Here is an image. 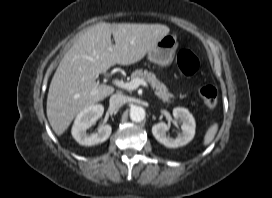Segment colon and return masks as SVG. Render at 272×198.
<instances>
[{"mask_svg": "<svg viewBox=\"0 0 272 198\" xmlns=\"http://www.w3.org/2000/svg\"><path fill=\"white\" fill-rule=\"evenodd\" d=\"M177 64L180 70L186 75H193L199 69V60L196 55L187 48H181L177 53ZM200 98L207 108H214L217 104L218 94L217 90L211 86L206 85L199 90Z\"/></svg>", "mask_w": 272, "mask_h": 198, "instance_id": "colon-1", "label": "colon"}]
</instances>
